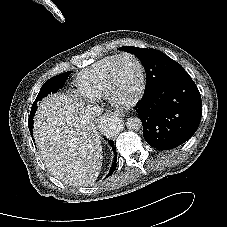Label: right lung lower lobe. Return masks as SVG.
Listing matches in <instances>:
<instances>
[{"mask_svg":"<svg viewBox=\"0 0 227 227\" xmlns=\"http://www.w3.org/2000/svg\"><path fill=\"white\" fill-rule=\"evenodd\" d=\"M35 107H37V106H35ZM109 143L111 144V146H114V142L113 141L109 140ZM113 149H114V154H115L114 162L112 164V167H111L110 172L107 175V177H109L115 171V169L117 167V163H116V161H117V154H116L115 147H113Z\"/></svg>","mask_w":227,"mask_h":227,"instance_id":"1","label":"right lung lower lobe"}]
</instances>
